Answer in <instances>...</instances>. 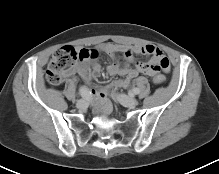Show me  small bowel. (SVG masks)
I'll return each instance as SVG.
<instances>
[{
    "mask_svg": "<svg viewBox=\"0 0 219 174\" xmlns=\"http://www.w3.org/2000/svg\"><path fill=\"white\" fill-rule=\"evenodd\" d=\"M79 51L86 54L90 53L91 51H96L97 56L98 52H105L112 59V63L107 68V72L110 75L124 76L122 79L113 81L108 89L92 90V96L99 100L106 99L108 90H114L118 87H127L130 82L140 73L148 76H154L159 70H163L165 72L170 70V63L167 56L153 45L132 46L126 44L107 43L101 45L98 50L81 49ZM118 54L122 55V63L118 59ZM138 54L150 56L152 59L151 63L134 65L135 55ZM97 56L83 59L82 63L78 67V74L87 83L100 74L101 66L95 60ZM88 60H93L91 65L87 64ZM109 111L110 106L105 105L103 112L108 113Z\"/></svg>",
    "mask_w": 219,
    "mask_h": 174,
    "instance_id": "c3829d8e",
    "label": "small bowel"
}]
</instances>
